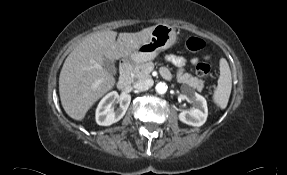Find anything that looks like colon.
<instances>
[{
    "mask_svg": "<svg viewBox=\"0 0 287 175\" xmlns=\"http://www.w3.org/2000/svg\"><path fill=\"white\" fill-rule=\"evenodd\" d=\"M186 47L191 52H198V51H201L204 49L205 42L199 37L192 36L187 40ZM210 71H211V67H210L209 63L205 60H201L196 65V72H197L198 76H200L204 79L209 78Z\"/></svg>",
    "mask_w": 287,
    "mask_h": 175,
    "instance_id": "1",
    "label": "colon"
}]
</instances>
